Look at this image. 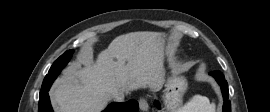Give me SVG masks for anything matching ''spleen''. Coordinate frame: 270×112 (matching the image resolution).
Masks as SVG:
<instances>
[{"instance_id":"obj_1","label":"spleen","mask_w":270,"mask_h":112,"mask_svg":"<svg viewBox=\"0 0 270 112\" xmlns=\"http://www.w3.org/2000/svg\"><path fill=\"white\" fill-rule=\"evenodd\" d=\"M170 112H215V104L205 96L195 95L184 106Z\"/></svg>"}]
</instances>
